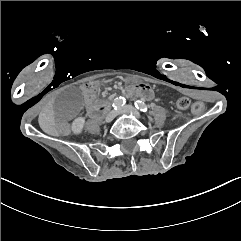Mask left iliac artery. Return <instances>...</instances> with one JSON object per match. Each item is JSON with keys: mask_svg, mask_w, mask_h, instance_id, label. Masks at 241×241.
Listing matches in <instances>:
<instances>
[{"mask_svg": "<svg viewBox=\"0 0 241 241\" xmlns=\"http://www.w3.org/2000/svg\"><path fill=\"white\" fill-rule=\"evenodd\" d=\"M134 105H135V107L138 109V110H140V111H142V112H147L148 111V107H147V105L144 103V102H142V101H136L135 103H134Z\"/></svg>", "mask_w": 241, "mask_h": 241, "instance_id": "44dca946", "label": "left iliac artery"}]
</instances>
